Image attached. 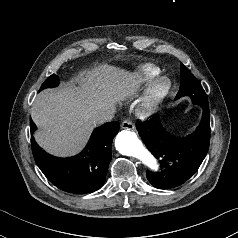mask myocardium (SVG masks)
<instances>
[{
	"mask_svg": "<svg viewBox=\"0 0 238 238\" xmlns=\"http://www.w3.org/2000/svg\"><path fill=\"white\" fill-rule=\"evenodd\" d=\"M169 83L165 78H157L147 87L144 96L140 102L139 111H152L167 95Z\"/></svg>",
	"mask_w": 238,
	"mask_h": 238,
	"instance_id": "obj_1",
	"label": "myocardium"
}]
</instances>
